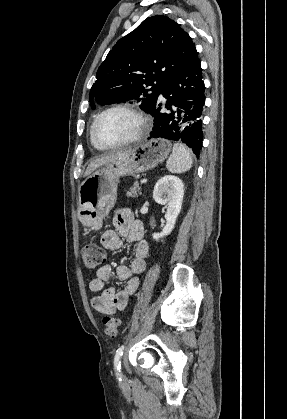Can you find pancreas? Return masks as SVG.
Returning <instances> with one entry per match:
<instances>
[{"label":"pancreas","mask_w":287,"mask_h":419,"mask_svg":"<svg viewBox=\"0 0 287 419\" xmlns=\"http://www.w3.org/2000/svg\"><path fill=\"white\" fill-rule=\"evenodd\" d=\"M141 188L138 183H135L134 186L130 187L129 191H127L128 197H136L138 193L140 194Z\"/></svg>","instance_id":"cf45deb5"}]
</instances>
